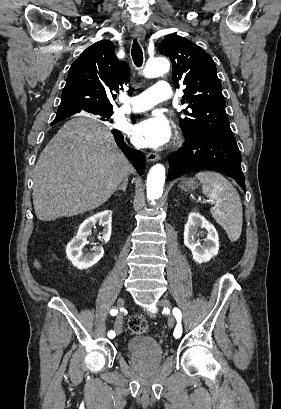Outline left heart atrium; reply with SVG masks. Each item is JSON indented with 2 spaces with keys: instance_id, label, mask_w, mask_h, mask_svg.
Instances as JSON below:
<instances>
[{
  "instance_id": "obj_1",
  "label": "left heart atrium",
  "mask_w": 281,
  "mask_h": 409,
  "mask_svg": "<svg viewBox=\"0 0 281 409\" xmlns=\"http://www.w3.org/2000/svg\"><path fill=\"white\" fill-rule=\"evenodd\" d=\"M171 135V126L168 120L161 115L143 119L132 129L134 142L146 148H159L166 145Z\"/></svg>"
}]
</instances>
